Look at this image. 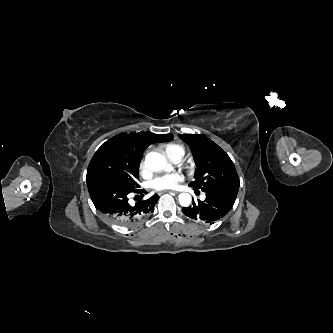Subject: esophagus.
<instances>
[{
	"label": "esophagus",
	"instance_id": "34e87169",
	"mask_svg": "<svg viewBox=\"0 0 333 333\" xmlns=\"http://www.w3.org/2000/svg\"><path fill=\"white\" fill-rule=\"evenodd\" d=\"M165 192H167V193H173V194H177V193H178L177 191L166 190V191H164V192H161L160 194H163V193H165Z\"/></svg>",
	"mask_w": 333,
	"mask_h": 333
}]
</instances>
